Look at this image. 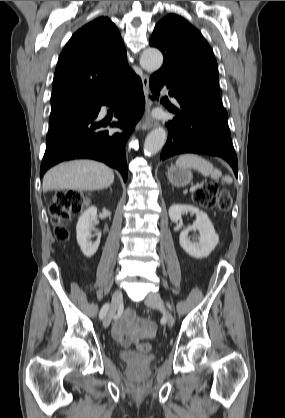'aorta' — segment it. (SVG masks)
Instances as JSON below:
<instances>
[{
    "mask_svg": "<svg viewBox=\"0 0 285 418\" xmlns=\"http://www.w3.org/2000/svg\"><path fill=\"white\" fill-rule=\"evenodd\" d=\"M163 63L162 53L154 48H148L143 51L140 57V65L148 72H154L160 69ZM167 139V133L163 128H157L150 132L144 142V153L147 156H153L164 146Z\"/></svg>",
    "mask_w": 285,
    "mask_h": 418,
    "instance_id": "obj_1",
    "label": "aorta"
}]
</instances>
